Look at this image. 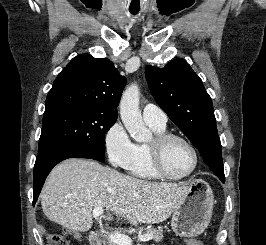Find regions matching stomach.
Returning a JSON list of instances; mask_svg holds the SVG:
<instances>
[{
	"mask_svg": "<svg viewBox=\"0 0 266 245\" xmlns=\"http://www.w3.org/2000/svg\"><path fill=\"white\" fill-rule=\"evenodd\" d=\"M214 207L213 191L203 179H192L183 203L175 207L171 227L176 237H198L207 229Z\"/></svg>",
	"mask_w": 266,
	"mask_h": 245,
	"instance_id": "stomach-1",
	"label": "stomach"
}]
</instances>
